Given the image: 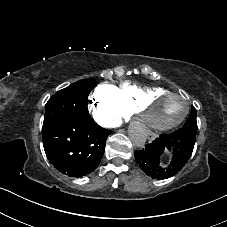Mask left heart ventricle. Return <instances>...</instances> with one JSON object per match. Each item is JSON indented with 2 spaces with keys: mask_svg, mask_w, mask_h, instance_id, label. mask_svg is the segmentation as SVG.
<instances>
[{
  "mask_svg": "<svg viewBox=\"0 0 227 227\" xmlns=\"http://www.w3.org/2000/svg\"><path fill=\"white\" fill-rule=\"evenodd\" d=\"M185 100L180 96H165L154 102L147 110L151 122L168 125L180 118L185 110Z\"/></svg>",
  "mask_w": 227,
  "mask_h": 227,
  "instance_id": "1",
  "label": "left heart ventricle"
}]
</instances>
